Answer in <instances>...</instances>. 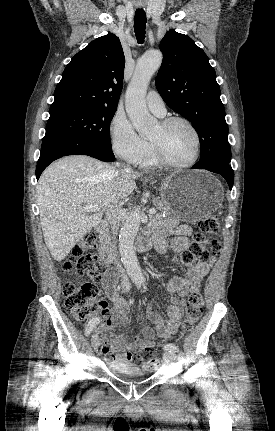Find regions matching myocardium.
<instances>
[{
  "mask_svg": "<svg viewBox=\"0 0 275 431\" xmlns=\"http://www.w3.org/2000/svg\"><path fill=\"white\" fill-rule=\"evenodd\" d=\"M175 123H182V124L186 125L194 136L195 152H194V155L191 158V160H189L186 163H182V164L172 163L165 158V156L161 152L159 146L155 142H152V141H150L151 153H152V156H153L155 162L157 163V165H159L161 167H164L167 169L189 168V167L193 166L198 161V159L201 155V147H202L201 137L199 135V132L195 128V126L188 119H186L184 117H180V116L166 117L160 121L159 125L161 126L162 129H167Z\"/></svg>",
  "mask_w": 275,
  "mask_h": 431,
  "instance_id": "obj_1",
  "label": "myocardium"
}]
</instances>
